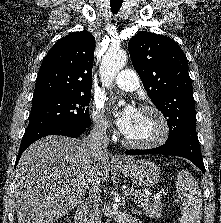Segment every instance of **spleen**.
Returning <instances> with one entry per match:
<instances>
[{
    "mask_svg": "<svg viewBox=\"0 0 221 223\" xmlns=\"http://www.w3.org/2000/svg\"><path fill=\"white\" fill-rule=\"evenodd\" d=\"M176 188L182 203L180 223H200L202 196L195 178L187 170H181Z\"/></svg>",
    "mask_w": 221,
    "mask_h": 223,
    "instance_id": "1",
    "label": "spleen"
}]
</instances>
